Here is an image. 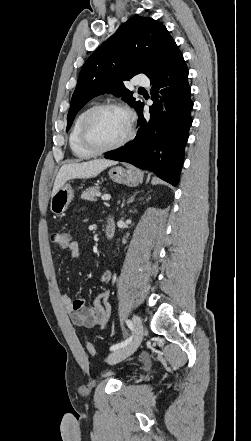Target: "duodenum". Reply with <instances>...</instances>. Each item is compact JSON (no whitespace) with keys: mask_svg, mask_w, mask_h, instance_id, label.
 Masks as SVG:
<instances>
[{"mask_svg":"<svg viewBox=\"0 0 251 441\" xmlns=\"http://www.w3.org/2000/svg\"><path fill=\"white\" fill-rule=\"evenodd\" d=\"M105 237L110 240L114 237L115 234V223L112 218H108L105 225Z\"/></svg>","mask_w":251,"mask_h":441,"instance_id":"1","label":"duodenum"}]
</instances>
